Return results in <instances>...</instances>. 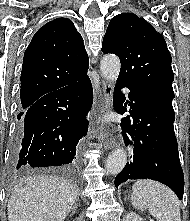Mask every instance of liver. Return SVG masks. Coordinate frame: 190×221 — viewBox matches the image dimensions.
<instances>
[{"mask_svg":"<svg viewBox=\"0 0 190 221\" xmlns=\"http://www.w3.org/2000/svg\"><path fill=\"white\" fill-rule=\"evenodd\" d=\"M77 198L76 187L57 176L25 178L7 205L9 221H64Z\"/></svg>","mask_w":190,"mask_h":221,"instance_id":"liver-1","label":"liver"}]
</instances>
